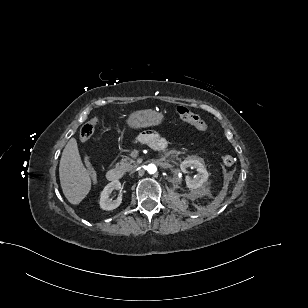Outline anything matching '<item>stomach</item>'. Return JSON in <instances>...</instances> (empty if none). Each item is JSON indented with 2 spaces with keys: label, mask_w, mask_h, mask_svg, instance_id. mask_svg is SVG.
<instances>
[{
  "label": "stomach",
  "mask_w": 308,
  "mask_h": 308,
  "mask_svg": "<svg viewBox=\"0 0 308 308\" xmlns=\"http://www.w3.org/2000/svg\"><path fill=\"white\" fill-rule=\"evenodd\" d=\"M164 120V115L152 109L137 110L132 112L127 120L126 125L131 129H141L151 126H157Z\"/></svg>",
  "instance_id": "obj_1"
}]
</instances>
